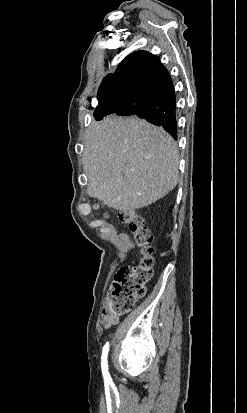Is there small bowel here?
Segmentation results:
<instances>
[{
    "instance_id": "obj_1",
    "label": "small bowel",
    "mask_w": 247,
    "mask_h": 413,
    "mask_svg": "<svg viewBox=\"0 0 247 413\" xmlns=\"http://www.w3.org/2000/svg\"><path fill=\"white\" fill-rule=\"evenodd\" d=\"M118 322V316L112 315L107 308L103 309L101 316V324L105 329H108L111 326L118 324Z\"/></svg>"
}]
</instances>
